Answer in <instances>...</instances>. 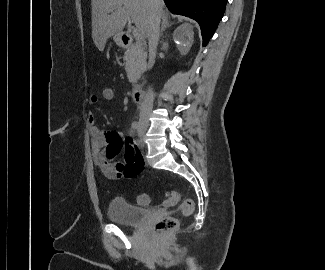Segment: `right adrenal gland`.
Here are the masks:
<instances>
[{"instance_id": "2a0ac1e0", "label": "right adrenal gland", "mask_w": 325, "mask_h": 270, "mask_svg": "<svg viewBox=\"0 0 325 270\" xmlns=\"http://www.w3.org/2000/svg\"><path fill=\"white\" fill-rule=\"evenodd\" d=\"M173 23L170 22L167 17L165 15H163L162 17V25H161V31H160V35H163V32L165 31V29L167 27H169L170 25H172Z\"/></svg>"}]
</instances>
